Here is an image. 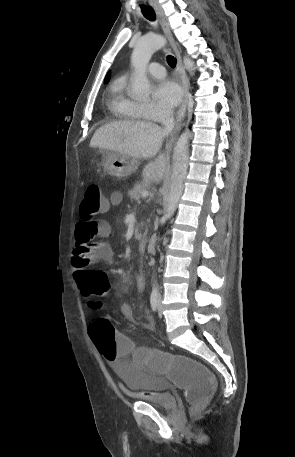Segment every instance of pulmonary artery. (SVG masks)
<instances>
[{
  "label": "pulmonary artery",
  "mask_w": 295,
  "mask_h": 457,
  "mask_svg": "<svg viewBox=\"0 0 295 457\" xmlns=\"http://www.w3.org/2000/svg\"><path fill=\"white\" fill-rule=\"evenodd\" d=\"M147 71L149 75L155 78H161L165 76V69L159 63H151L148 66Z\"/></svg>",
  "instance_id": "1"
}]
</instances>
